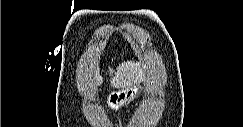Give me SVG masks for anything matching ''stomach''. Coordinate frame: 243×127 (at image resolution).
Instances as JSON below:
<instances>
[{
  "label": "stomach",
  "instance_id": "0dacf381",
  "mask_svg": "<svg viewBox=\"0 0 243 127\" xmlns=\"http://www.w3.org/2000/svg\"><path fill=\"white\" fill-rule=\"evenodd\" d=\"M141 91V84H133L111 91L107 96L108 108L111 110H119L122 106L136 98Z\"/></svg>",
  "mask_w": 243,
  "mask_h": 127
}]
</instances>
